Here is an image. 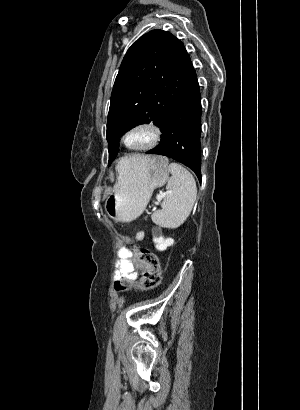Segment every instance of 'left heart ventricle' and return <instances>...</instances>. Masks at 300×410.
Returning a JSON list of instances; mask_svg holds the SVG:
<instances>
[{
    "instance_id": "left-heart-ventricle-1",
    "label": "left heart ventricle",
    "mask_w": 300,
    "mask_h": 410,
    "mask_svg": "<svg viewBox=\"0 0 300 410\" xmlns=\"http://www.w3.org/2000/svg\"><path fill=\"white\" fill-rule=\"evenodd\" d=\"M150 140V134L146 131H136L130 134L126 142L129 146H140L147 143Z\"/></svg>"
}]
</instances>
